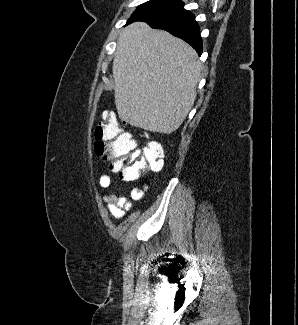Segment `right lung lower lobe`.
<instances>
[{
  "instance_id": "98d812e1",
  "label": "right lung lower lobe",
  "mask_w": 298,
  "mask_h": 325,
  "mask_svg": "<svg viewBox=\"0 0 298 325\" xmlns=\"http://www.w3.org/2000/svg\"><path fill=\"white\" fill-rule=\"evenodd\" d=\"M133 21L136 20H129V23ZM144 21L152 28L166 30L172 35L183 39L201 55L203 49L200 27L195 21V16L190 11L182 8L171 14Z\"/></svg>"
}]
</instances>
